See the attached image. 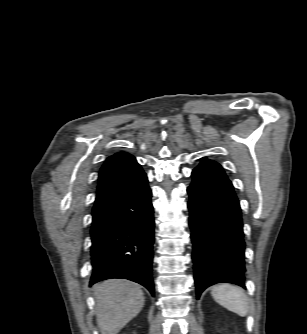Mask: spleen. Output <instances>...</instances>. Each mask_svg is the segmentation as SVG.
Here are the masks:
<instances>
[{"instance_id": "obj_1", "label": "spleen", "mask_w": 307, "mask_h": 334, "mask_svg": "<svg viewBox=\"0 0 307 334\" xmlns=\"http://www.w3.org/2000/svg\"><path fill=\"white\" fill-rule=\"evenodd\" d=\"M211 295L214 300L228 310L246 316L248 312V300L244 291L230 284H219L212 288Z\"/></svg>"}]
</instances>
